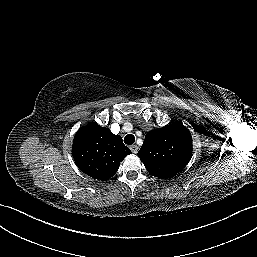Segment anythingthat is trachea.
Wrapping results in <instances>:
<instances>
[{
	"mask_svg": "<svg viewBox=\"0 0 257 257\" xmlns=\"http://www.w3.org/2000/svg\"><path fill=\"white\" fill-rule=\"evenodd\" d=\"M135 142V137L132 134H128L124 138V143L127 145H131Z\"/></svg>",
	"mask_w": 257,
	"mask_h": 257,
	"instance_id": "3493384b",
	"label": "trachea"
}]
</instances>
